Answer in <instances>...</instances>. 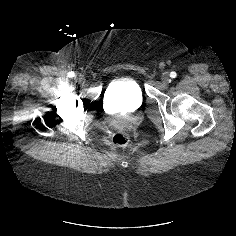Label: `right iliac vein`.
<instances>
[{"instance_id": "obj_1", "label": "right iliac vein", "mask_w": 236, "mask_h": 236, "mask_svg": "<svg viewBox=\"0 0 236 236\" xmlns=\"http://www.w3.org/2000/svg\"><path fill=\"white\" fill-rule=\"evenodd\" d=\"M75 80L79 83L84 82V77L81 74L76 75Z\"/></svg>"}]
</instances>
